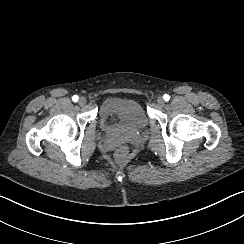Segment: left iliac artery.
<instances>
[{
	"label": "left iliac artery",
	"instance_id": "left-iliac-artery-1",
	"mask_svg": "<svg viewBox=\"0 0 244 244\" xmlns=\"http://www.w3.org/2000/svg\"><path fill=\"white\" fill-rule=\"evenodd\" d=\"M163 98H164V100H165V101H169L170 96H169V95H167V94H165V95L163 96Z\"/></svg>",
	"mask_w": 244,
	"mask_h": 244
}]
</instances>
